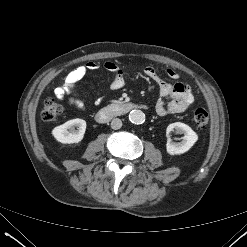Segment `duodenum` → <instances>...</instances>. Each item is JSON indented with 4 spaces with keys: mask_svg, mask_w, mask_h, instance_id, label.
<instances>
[{
    "mask_svg": "<svg viewBox=\"0 0 247 247\" xmlns=\"http://www.w3.org/2000/svg\"><path fill=\"white\" fill-rule=\"evenodd\" d=\"M139 107L143 108L144 106H138L134 103L125 102L112 103L101 108L96 114V119L100 123H105L114 117L125 115L131 110Z\"/></svg>",
    "mask_w": 247,
    "mask_h": 247,
    "instance_id": "duodenum-1",
    "label": "duodenum"
}]
</instances>
